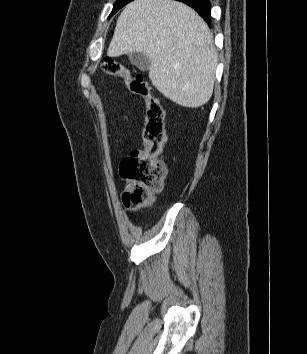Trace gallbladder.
<instances>
[{
  "label": "gallbladder",
  "instance_id": "1",
  "mask_svg": "<svg viewBox=\"0 0 307 354\" xmlns=\"http://www.w3.org/2000/svg\"><path fill=\"white\" fill-rule=\"evenodd\" d=\"M130 62L141 71H148L151 63L149 57L143 52H133L129 54Z\"/></svg>",
  "mask_w": 307,
  "mask_h": 354
}]
</instances>
